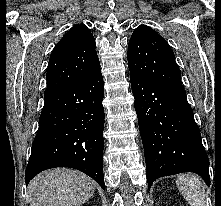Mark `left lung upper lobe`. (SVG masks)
I'll list each match as a JSON object with an SVG mask.
<instances>
[{"label":"left lung upper lobe","mask_w":221,"mask_h":206,"mask_svg":"<svg viewBox=\"0 0 221 206\" xmlns=\"http://www.w3.org/2000/svg\"><path fill=\"white\" fill-rule=\"evenodd\" d=\"M127 57L131 75L184 90L172 49L151 27L140 25L134 30Z\"/></svg>","instance_id":"left-lung-upper-lobe-1"}]
</instances>
